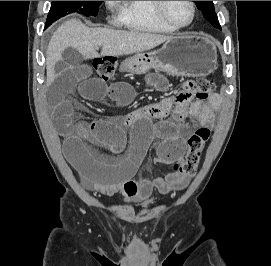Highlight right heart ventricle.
I'll use <instances>...</instances> for the list:
<instances>
[{
    "instance_id": "1",
    "label": "right heart ventricle",
    "mask_w": 271,
    "mask_h": 266,
    "mask_svg": "<svg viewBox=\"0 0 271 266\" xmlns=\"http://www.w3.org/2000/svg\"><path fill=\"white\" fill-rule=\"evenodd\" d=\"M118 18L126 28L149 33H173L155 13L153 1H118Z\"/></svg>"
}]
</instances>
